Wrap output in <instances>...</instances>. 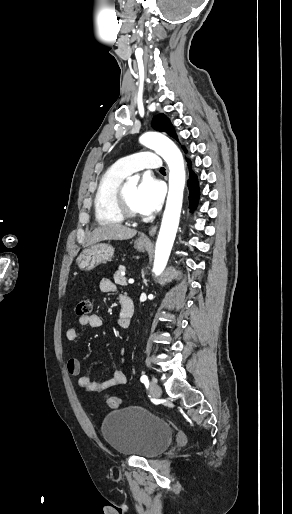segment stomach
<instances>
[{
    "mask_svg": "<svg viewBox=\"0 0 292 514\" xmlns=\"http://www.w3.org/2000/svg\"><path fill=\"white\" fill-rule=\"evenodd\" d=\"M150 242H141L136 240L134 248L137 252H144ZM114 256V248L110 244H96V246H90L88 250H83L79 258H77V264L81 270H93L99 264H105V262H111Z\"/></svg>",
    "mask_w": 292,
    "mask_h": 514,
    "instance_id": "stomach-1",
    "label": "stomach"
}]
</instances>
